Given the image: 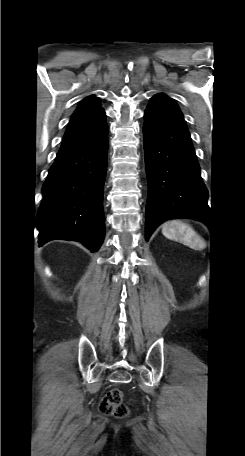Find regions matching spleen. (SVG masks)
Returning <instances> with one entry per match:
<instances>
[{
  "label": "spleen",
  "mask_w": 245,
  "mask_h": 456,
  "mask_svg": "<svg viewBox=\"0 0 245 456\" xmlns=\"http://www.w3.org/2000/svg\"><path fill=\"white\" fill-rule=\"evenodd\" d=\"M162 233L168 239L179 240L193 249H198L205 245L193 228L181 220H172L164 223Z\"/></svg>",
  "instance_id": "1"
}]
</instances>
